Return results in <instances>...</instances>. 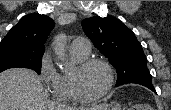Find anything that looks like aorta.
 <instances>
[{
  "label": "aorta",
  "instance_id": "762f6f07",
  "mask_svg": "<svg viewBox=\"0 0 171 110\" xmlns=\"http://www.w3.org/2000/svg\"><path fill=\"white\" fill-rule=\"evenodd\" d=\"M54 51L58 59L61 61V69H67L66 62V42L63 38H57L54 42Z\"/></svg>",
  "mask_w": 171,
  "mask_h": 110
}]
</instances>
